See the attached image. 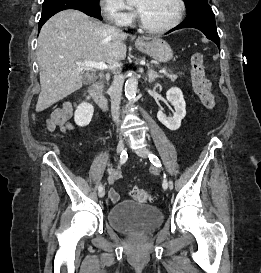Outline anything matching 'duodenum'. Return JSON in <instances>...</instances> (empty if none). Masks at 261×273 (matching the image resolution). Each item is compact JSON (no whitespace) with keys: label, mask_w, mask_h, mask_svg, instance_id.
Instances as JSON below:
<instances>
[{"label":"duodenum","mask_w":261,"mask_h":273,"mask_svg":"<svg viewBox=\"0 0 261 273\" xmlns=\"http://www.w3.org/2000/svg\"><path fill=\"white\" fill-rule=\"evenodd\" d=\"M87 97L101 109L105 110L108 106V101L102 94V86L100 82H94L88 87Z\"/></svg>","instance_id":"obj_1"}]
</instances>
